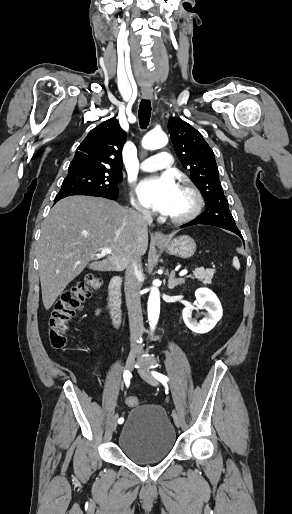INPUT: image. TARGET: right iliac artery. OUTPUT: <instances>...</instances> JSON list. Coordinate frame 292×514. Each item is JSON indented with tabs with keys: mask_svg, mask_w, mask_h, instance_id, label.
<instances>
[{
	"mask_svg": "<svg viewBox=\"0 0 292 514\" xmlns=\"http://www.w3.org/2000/svg\"><path fill=\"white\" fill-rule=\"evenodd\" d=\"M123 377H124V382H125L126 386L128 387L130 384V378L132 377V375L128 370H126V371H124ZM123 422H124V418L121 417L118 419L119 424H122Z\"/></svg>",
	"mask_w": 292,
	"mask_h": 514,
	"instance_id": "obj_1",
	"label": "right iliac artery"
}]
</instances>
